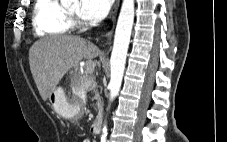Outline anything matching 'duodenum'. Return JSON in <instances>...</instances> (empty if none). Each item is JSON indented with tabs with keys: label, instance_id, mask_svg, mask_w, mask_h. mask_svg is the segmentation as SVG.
Instances as JSON below:
<instances>
[{
	"label": "duodenum",
	"instance_id": "410a0bca",
	"mask_svg": "<svg viewBox=\"0 0 227 142\" xmlns=\"http://www.w3.org/2000/svg\"><path fill=\"white\" fill-rule=\"evenodd\" d=\"M101 124H102V117L99 116L96 120L93 121L91 125V132L93 134H98L101 129Z\"/></svg>",
	"mask_w": 227,
	"mask_h": 142
}]
</instances>
